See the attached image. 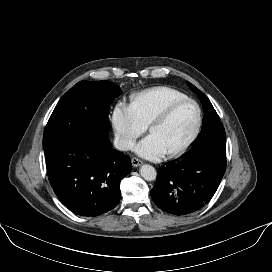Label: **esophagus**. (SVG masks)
Returning a JSON list of instances; mask_svg holds the SVG:
<instances>
[{
  "label": "esophagus",
  "instance_id": "34e87169",
  "mask_svg": "<svg viewBox=\"0 0 272 272\" xmlns=\"http://www.w3.org/2000/svg\"><path fill=\"white\" fill-rule=\"evenodd\" d=\"M131 163H132V165H133L134 167H138V166H140V165L142 164V161L139 160L138 158L133 157V158L131 159Z\"/></svg>",
  "mask_w": 272,
  "mask_h": 272
}]
</instances>
